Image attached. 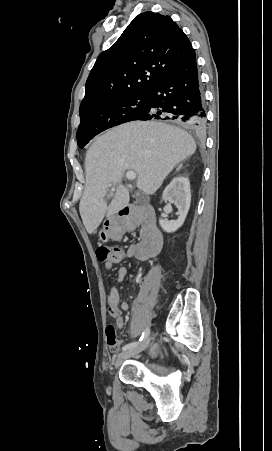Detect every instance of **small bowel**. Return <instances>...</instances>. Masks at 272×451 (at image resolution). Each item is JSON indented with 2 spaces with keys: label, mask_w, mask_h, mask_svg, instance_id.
Instances as JSON below:
<instances>
[{
  "label": "small bowel",
  "mask_w": 272,
  "mask_h": 451,
  "mask_svg": "<svg viewBox=\"0 0 272 451\" xmlns=\"http://www.w3.org/2000/svg\"><path fill=\"white\" fill-rule=\"evenodd\" d=\"M123 258V252L120 256H116L113 259L105 261L104 268L106 270H111L113 265L120 262ZM128 275V268L125 266H121L118 268L116 273L114 274V278L117 282H123L126 276ZM107 308L110 316L114 319L116 326L119 329H123L125 327V321L122 317V311H127L129 309V305L127 302L120 301V294L118 288L111 283V280H108V297H107ZM117 348V347H116ZM115 349V348H114ZM159 346L156 345L153 347V353L156 354L159 351Z\"/></svg>",
  "instance_id": "c3829d8e"
}]
</instances>
